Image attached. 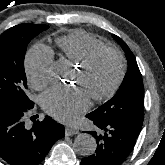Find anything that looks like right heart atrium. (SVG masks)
Returning a JSON list of instances; mask_svg holds the SVG:
<instances>
[{"instance_id":"1","label":"right heart atrium","mask_w":165,"mask_h":165,"mask_svg":"<svg viewBox=\"0 0 165 165\" xmlns=\"http://www.w3.org/2000/svg\"><path fill=\"white\" fill-rule=\"evenodd\" d=\"M53 52L43 44H35L30 48L25 59V69L30 85L42 89L50 82V68Z\"/></svg>"}]
</instances>
